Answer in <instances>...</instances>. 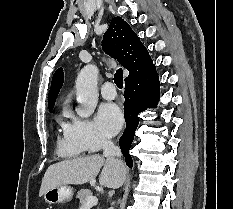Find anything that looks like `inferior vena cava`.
<instances>
[{
  "label": "inferior vena cava",
  "mask_w": 233,
  "mask_h": 209,
  "mask_svg": "<svg viewBox=\"0 0 233 209\" xmlns=\"http://www.w3.org/2000/svg\"><path fill=\"white\" fill-rule=\"evenodd\" d=\"M103 155L108 159H115L117 162L122 163L118 158L121 157V150L115 146L111 140H103L102 143Z\"/></svg>",
  "instance_id": "1"
}]
</instances>
